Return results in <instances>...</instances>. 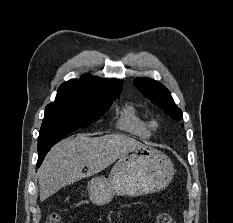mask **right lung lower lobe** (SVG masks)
<instances>
[{"instance_id":"1","label":"right lung lower lobe","mask_w":233,"mask_h":223,"mask_svg":"<svg viewBox=\"0 0 233 223\" xmlns=\"http://www.w3.org/2000/svg\"><path fill=\"white\" fill-rule=\"evenodd\" d=\"M49 150H50V149L45 150V151H44V152H42V153H39V152H38L39 157H38L37 167H39V166H40V164H41L42 160L44 159V157H45L46 153H47Z\"/></svg>"}]
</instances>
